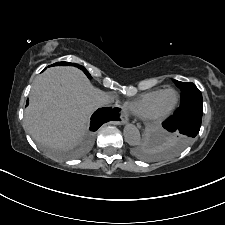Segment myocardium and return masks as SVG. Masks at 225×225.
Instances as JSON below:
<instances>
[{
  "label": "myocardium",
  "instance_id": "myocardium-1",
  "mask_svg": "<svg viewBox=\"0 0 225 225\" xmlns=\"http://www.w3.org/2000/svg\"><path fill=\"white\" fill-rule=\"evenodd\" d=\"M169 91L174 92L175 95H176V100H175L174 104L170 108L165 110V111L155 112L154 108H155V105H156L158 99L160 98L161 95H163L164 93L169 92ZM179 99H180L179 93L175 89H173V88L162 89L157 94V96L154 98V100L149 105L147 111L144 113V115L142 117L144 118V120L146 122H148L150 124L161 123L164 120H166L174 112V110L176 109V107H177V105L179 103Z\"/></svg>",
  "mask_w": 225,
  "mask_h": 225
}]
</instances>
